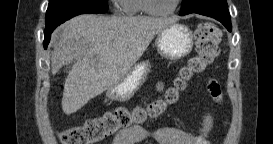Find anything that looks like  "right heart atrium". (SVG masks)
Instances as JSON below:
<instances>
[{
    "instance_id": "right-heart-atrium-1",
    "label": "right heart atrium",
    "mask_w": 273,
    "mask_h": 144,
    "mask_svg": "<svg viewBox=\"0 0 273 144\" xmlns=\"http://www.w3.org/2000/svg\"><path fill=\"white\" fill-rule=\"evenodd\" d=\"M112 2L114 6L119 9L122 6L123 0H113Z\"/></svg>"
}]
</instances>
